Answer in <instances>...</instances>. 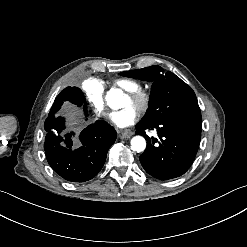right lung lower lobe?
Here are the masks:
<instances>
[{
	"label": "right lung lower lobe",
	"mask_w": 247,
	"mask_h": 247,
	"mask_svg": "<svg viewBox=\"0 0 247 247\" xmlns=\"http://www.w3.org/2000/svg\"><path fill=\"white\" fill-rule=\"evenodd\" d=\"M69 101L79 107L82 105L87 116L86 104L81 101L73 87L65 88L55 99L44 128L46 137L44 150L51 168L62 178L71 182H84L95 177L103 167L107 152L115 142V129L103 120L87 126L79 136L82 146L73 149V141L68 133L61 136L64 118L56 117L62 104ZM87 120V119H86Z\"/></svg>",
	"instance_id": "obj_1"
}]
</instances>
